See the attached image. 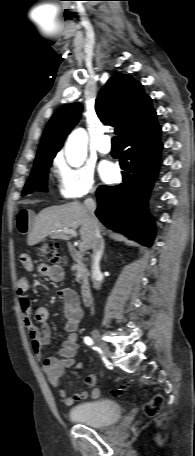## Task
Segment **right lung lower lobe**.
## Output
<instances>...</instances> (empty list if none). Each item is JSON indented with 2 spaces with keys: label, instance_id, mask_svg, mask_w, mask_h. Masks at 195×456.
Masks as SVG:
<instances>
[{
  "label": "right lung lower lobe",
  "instance_id": "right-lung-lower-lobe-1",
  "mask_svg": "<svg viewBox=\"0 0 195 456\" xmlns=\"http://www.w3.org/2000/svg\"><path fill=\"white\" fill-rule=\"evenodd\" d=\"M161 127L143 129L122 141L120 166L123 183L97 189V217L108 228L151 246L154 221L147 213V199L160 165Z\"/></svg>",
  "mask_w": 195,
  "mask_h": 456
}]
</instances>
